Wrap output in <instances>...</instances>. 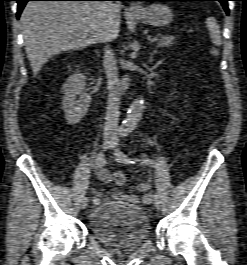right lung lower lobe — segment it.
<instances>
[{"mask_svg": "<svg viewBox=\"0 0 247 265\" xmlns=\"http://www.w3.org/2000/svg\"><path fill=\"white\" fill-rule=\"evenodd\" d=\"M18 3L17 19L28 1H110V0H16ZM111 1H127V0H111Z\"/></svg>", "mask_w": 247, "mask_h": 265, "instance_id": "obj_1", "label": "right lung lower lobe"}]
</instances>
